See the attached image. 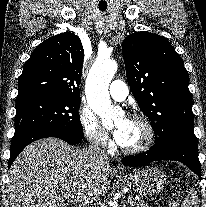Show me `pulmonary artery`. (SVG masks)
<instances>
[{
	"label": "pulmonary artery",
	"mask_w": 206,
	"mask_h": 207,
	"mask_svg": "<svg viewBox=\"0 0 206 207\" xmlns=\"http://www.w3.org/2000/svg\"><path fill=\"white\" fill-rule=\"evenodd\" d=\"M110 96L116 101H123L128 96V87L121 80H114L109 87Z\"/></svg>",
	"instance_id": "pulmonary-artery-1"
}]
</instances>
